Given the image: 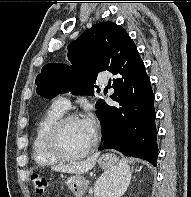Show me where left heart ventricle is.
<instances>
[{
    "instance_id": "left-heart-ventricle-1",
    "label": "left heart ventricle",
    "mask_w": 191,
    "mask_h": 197,
    "mask_svg": "<svg viewBox=\"0 0 191 197\" xmlns=\"http://www.w3.org/2000/svg\"><path fill=\"white\" fill-rule=\"evenodd\" d=\"M93 140L81 121H71L61 130L59 142L62 149L68 154L82 152Z\"/></svg>"
}]
</instances>
